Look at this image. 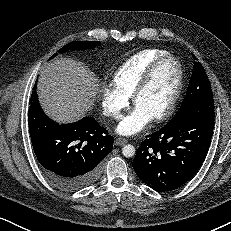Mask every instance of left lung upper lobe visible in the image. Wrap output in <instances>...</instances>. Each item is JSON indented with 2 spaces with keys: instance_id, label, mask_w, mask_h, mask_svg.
Segmentation results:
<instances>
[{
  "instance_id": "1",
  "label": "left lung upper lobe",
  "mask_w": 231,
  "mask_h": 231,
  "mask_svg": "<svg viewBox=\"0 0 231 231\" xmlns=\"http://www.w3.org/2000/svg\"><path fill=\"white\" fill-rule=\"evenodd\" d=\"M194 59H197L192 55ZM214 110V100L211 85L206 72L200 62H194L185 98L179 110L173 117L176 118L189 110Z\"/></svg>"
}]
</instances>
